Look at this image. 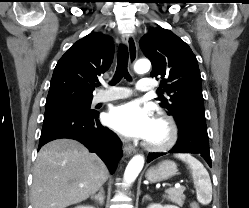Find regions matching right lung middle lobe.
<instances>
[{"label": "right lung middle lobe", "mask_w": 249, "mask_h": 208, "mask_svg": "<svg viewBox=\"0 0 249 208\" xmlns=\"http://www.w3.org/2000/svg\"><path fill=\"white\" fill-rule=\"evenodd\" d=\"M90 105H91V100H88V101L64 104V105H60L54 108L75 109V110H79L82 112H88V113L95 112L94 110L90 109Z\"/></svg>", "instance_id": "right-lung-middle-lobe-1"}]
</instances>
